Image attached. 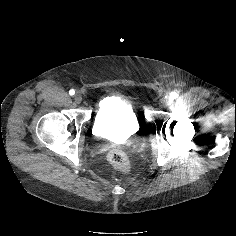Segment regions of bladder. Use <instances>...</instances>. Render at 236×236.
<instances>
[{
    "label": "bladder",
    "instance_id": "31cf9c89",
    "mask_svg": "<svg viewBox=\"0 0 236 236\" xmlns=\"http://www.w3.org/2000/svg\"><path fill=\"white\" fill-rule=\"evenodd\" d=\"M94 131L103 138L130 136L137 131L138 122L129 101L120 98L100 105L96 113Z\"/></svg>",
    "mask_w": 236,
    "mask_h": 236
}]
</instances>
